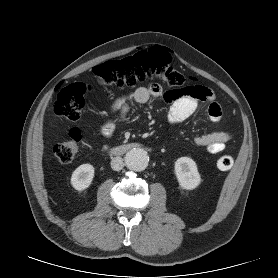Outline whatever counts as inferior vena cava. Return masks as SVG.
Returning a JSON list of instances; mask_svg holds the SVG:
<instances>
[{"instance_id": "inferior-vena-cava-1", "label": "inferior vena cava", "mask_w": 278, "mask_h": 278, "mask_svg": "<svg viewBox=\"0 0 278 278\" xmlns=\"http://www.w3.org/2000/svg\"><path fill=\"white\" fill-rule=\"evenodd\" d=\"M124 167L123 159L120 156L114 157L111 160V168L115 171H119Z\"/></svg>"}]
</instances>
